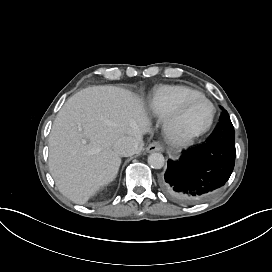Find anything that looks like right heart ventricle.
Segmentation results:
<instances>
[{
    "mask_svg": "<svg viewBox=\"0 0 272 272\" xmlns=\"http://www.w3.org/2000/svg\"><path fill=\"white\" fill-rule=\"evenodd\" d=\"M199 94L196 89L185 86H162L151 99V108L158 114H167L175 110L185 98Z\"/></svg>",
    "mask_w": 272,
    "mask_h": 272,
    "instance_id": "right-heart-ventricle-1",
    "label": "right heart ventricle"
}]
</instances>
